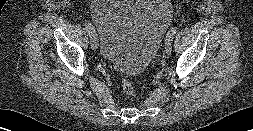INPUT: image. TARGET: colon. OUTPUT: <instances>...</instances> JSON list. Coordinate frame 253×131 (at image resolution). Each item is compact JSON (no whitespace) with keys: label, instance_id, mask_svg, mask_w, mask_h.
Wrapping results in <instances>:
<instances>
[{"label":"colon","instance_id":"colon-1","mask_svg":"<svg viewBox=\"0 0 253 131\" xmlns=\"http://www.w3.org/2000/svg\"><path fill=\"white\" fill-rule=\"evenodd\" d=\"M121 86L123 91L127 94V95H133L135 93V88L133 86V84L131 83L130 80L123 78L121 80Z\"/></svg>","mask_w":253,"mask_h":131}]
</instances>
